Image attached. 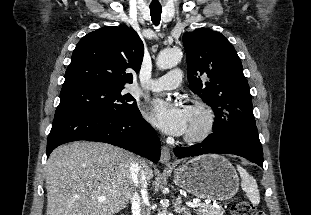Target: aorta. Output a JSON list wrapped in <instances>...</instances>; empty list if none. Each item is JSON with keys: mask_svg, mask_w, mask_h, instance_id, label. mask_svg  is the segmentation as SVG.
I'll use <instances>...</instances> for the list:
<instances>
[{"mask_svg": "<svg viewBox=\"0 0 311 215\" xmlns=\"http://www.w3.org/2000/svg\"><path fill=\"white\" fill-rule=\"evenodd\" d=\"M182 57L179 48L165 49L157 57L156 65L159 69H170L175 67ZM158 215H166L165 211L159 212Z\"/></svg>", "mask_w": 311, "mask_h": 215, "instance_id": "762f6f07", "label": "aorta"}]
</instances>
